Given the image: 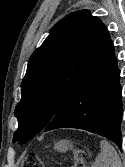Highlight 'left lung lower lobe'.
<instances>
[{
    "label": "left lung lower lobe",
    "instance_id": "1",
    "mask_svg": "<svg viewBox=\"0 0 125 167\" xmlns=\"http://www.w3.org/2000/svg\"><path fill=\"white\" fill-rule=\"evenodd\" d=\"M122 115L120 69L108 34L89 74L44 131L58 128L83 129L104 136L121 148Z\"/></svg>",
    "mask_w": 125,
    "mask_h": 167
}]
</instances>
